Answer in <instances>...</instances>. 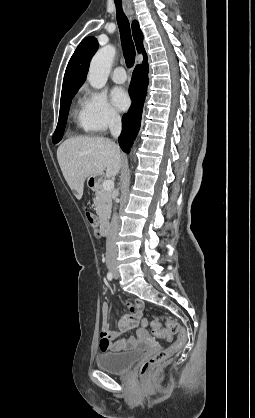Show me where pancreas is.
Segmentation results:
<instances>
[{"label":"pancreas","instance_id":"cf45deb5","mask_svg":"<svg viewBox=\"0 0 255 418\" xmlns=\"http://www.w3.org/2000/svg\"><path fill=\"white\" fill-rule=\"evenodd\" d=\"M94 205L100 220L108 217L112 206V191L104 190L102 184L95 188Z\"/></svg>","mask_w":255,"mask_h":418}]
</instances>
